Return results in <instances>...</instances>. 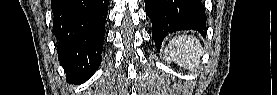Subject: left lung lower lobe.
<instances>
[{"label": "left lung lower lobe", "mask_w": 277, "mask_h": 95, "mask_svg": "<svg viewBox=\"0 0 277 95\" xmlns=\"http://www.w3.org/2000/svg\"><path fill=\"white\" fill-rule=\"evenodd\" d=\"M152 21V37L160 50L165 36L179 30L206 32V16L201 0H145Z\"/></svg>", "instance_id": "1"}]
</instances>
